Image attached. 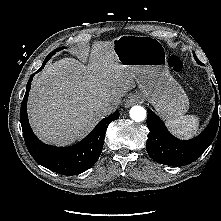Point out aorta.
Returning <instances> with one entry per match:
<instances>
[{"label":"aorta","mask_w":221,"mask_h":221,"mask_svg":"<svg viewBox=\"0 0 221 221\" xmlns=\"http://www.w3.org/2000/svg\"><path fill=\"white\" fill-rule=\"evenodd\" d=\"M130 118L135 122H141L146 118V110L139 105H135L130 109Z\"/></svg>","instance_id":"obj_1"}]
</instances>
